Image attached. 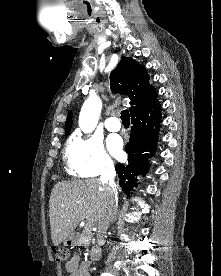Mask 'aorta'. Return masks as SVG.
<instances>
[{"label": "aorta", "instance_id": "1", "mask_svg": "<svg viewBox=\"0 0 221 276\" xmlns=\"http://www.w3.org/2000/svg\"><path fill=\"white\" fill-rule=\"evenodd\" d=\"M102 102L97 96H90L84 103L79 115V127L85 133H91L100 117Z\"/></svg>", "mask_w": 221, "mask_h": 276}]
</instances>
